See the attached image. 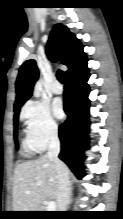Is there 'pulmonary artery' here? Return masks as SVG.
Listing matches in <instances>:
<instances>
[{"label":"pulmonary artery","instance_id":"obj_1","mask_svg":"<svg viewBox=\"0 0 123 219\" xmlns=\"http://www.w3.org/2000/svg\"><path fill=\"white\" fill-rule=\"evenodd\" d=\"M51 90L54 94H61L63 92V87L58 81H56L52 85Z\"/></svg>","mask_w":123,"mask_h":219}]
</instances>
